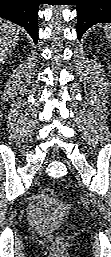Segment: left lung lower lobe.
<instances>
[{
    "mask_svg": "<svg viewBox=\"0 0 111 257\" xmlns=\"http://www.w3.org/2000/svg\"><path fill=\"white\" fill-rule=\"evenodd\" d=\"M77 18V35L80 39L94 24L111 23V0H78Z\"/></svg>",
    "mask_w": 111,
    "mask_h": 257,
    "instance_id": "obj_1",
    "label": "left lung lower lobe"
}]
</instances>
